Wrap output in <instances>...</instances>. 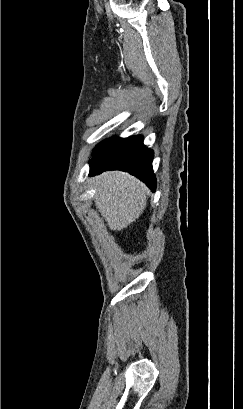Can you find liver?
<instances>
[{
	"label": "liver",
	"mask_w": 243,
	"mask_h": 409,
	"mask_svg": "<svg viewBox=\"0 0 243 409\" xmlns=\"http://www.w3.org/2000/svg\"><path fill=\"white\" fill-rule=\"evenodd\" d=\"M96 208L111 230L120 231L136 221L147 203V187L121 171H108L92 180Z\"/></svg>",
	"instance_id": "1"
}]
</instances>
